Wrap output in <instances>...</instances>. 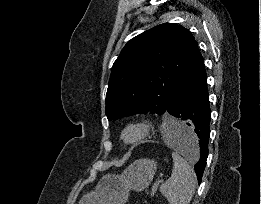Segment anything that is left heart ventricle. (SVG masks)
Instances as JSON below:
<instances>
[{
    "instance_id": "1",
    "label": "left heart ventricle",
    "mask_w": 261,
    "mask_h": 204,
    "mask_svg": "<svg viewBox=\"0 0 261 204\" xmlns=\"http://www.w3.org/2000/svg\"><path fill=\"white\" fill-rule=\"evenodd\" d=\"M132 136H133V133H132V132H130V133L127 134V138H131Z\"/></svg>"
}]
</instances>
